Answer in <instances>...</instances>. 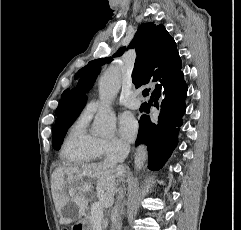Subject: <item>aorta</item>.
<instances>
[{
  "label": "aorta",
  "mask_w": 241,
  "mask_h": 230,
  "mask_svg": "<svg viewBox=\"0 0 241 230\" xmlns=\"http://www.w3.org/2000/svg\"><path fill=\"white\" fill-rule=\"evenodd\" d=\"M121 87L120 71L116 67H111L105 71L99 79V97L101 106L95 116L92 133L97 136L111 137L116 128V116L111 108V102L116 97ZM147 157L146 149L141 146L137 149L134 157L135 167L143 168ZM118 229L121 228L119 224Z\"/></svg>",
  "instance_id": "aorta-1"
}]
</instances>
